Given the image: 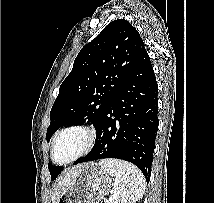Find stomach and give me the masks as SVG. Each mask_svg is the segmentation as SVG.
<instances>
[{
  "label": "stomach",
  "mask_w": 214,
  "mask_h": 203,
  "mask_svg": "<svg viewBox=\"0 0 214 203\" xmlns=\"http://www.w3.org/2000/svg\"><path fill=\"white\" fill-rule=\"evenodd\" d=\"M113 186L112 176L100 165L85 163L57 203H99Z\"/></svg>",
  "instance_id": "0dacf381"
}]
</instances>
